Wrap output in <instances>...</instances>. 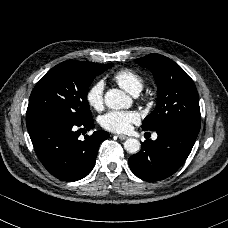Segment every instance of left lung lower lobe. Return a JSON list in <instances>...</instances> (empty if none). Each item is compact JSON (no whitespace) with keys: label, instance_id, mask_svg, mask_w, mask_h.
I'll return each mask as SVG.
<instances>
[{"label":"left lung lower lobe","instance_id":"left-lung-lower-lobe-1","mask_svg":"<svg viewBox=\"0 0 228 228\" xmlns=\"http://www.w3.org/2000/svg\"><path fill=\"white\" fill-rule=\"evenodd\" d=\"M155 141L147 139L129 158L132 172L145 181H159L174 174L186 161L199 132L181 127L158 129Z\"/></svg>","mask_w":228,"mask_h":228}]
</instances>
